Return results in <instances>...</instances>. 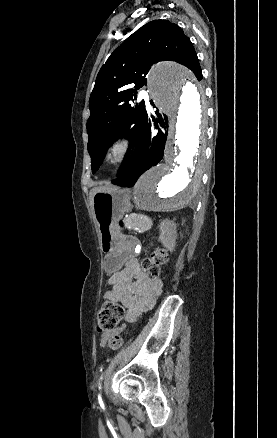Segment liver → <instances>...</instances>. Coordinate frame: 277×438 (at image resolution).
<instances>
[{
    "label": "liver",
    "instance_id": "liver-1",
    "mask_svg": "<svg viewBox=\"0 0 277 438\" xmlns=\"http://www.w3.org/2000/svg\"><path fill=\"white\" fill-rule=\"evenodd\" d=\"M97 192H101V190H98V188H93L90 192V196H93V194H97Z\"/></svg>",
    "mask_w": 277,
    "mask_h": 438
}]
</instances>
